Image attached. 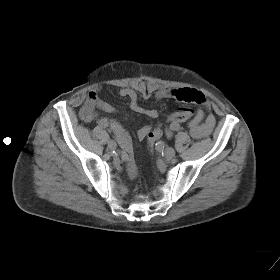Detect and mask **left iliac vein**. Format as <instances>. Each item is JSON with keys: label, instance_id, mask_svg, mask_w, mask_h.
<instances>
[{"label": "left iliac vein", "instance_id": "4c4485c4", "mask_svg": "<svg viewBox=\"0 0 280 280\" xmlns=\"http://www.w3.org/2000/svg\"><path fill=\"white\" fill-rule=\"evenodd\" d=\"M164 155H165L166 158L172 159L175 156V150L171 147H167L164 150Z\"/></svg>", "mask_w": 280, "mask_h": 280}]
</instances>
